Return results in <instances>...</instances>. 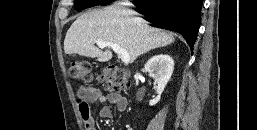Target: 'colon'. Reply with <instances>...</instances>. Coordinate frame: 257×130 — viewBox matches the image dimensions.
Returning <instances> with one entry per match:
<instances>
[{
	"instance_id": "obj_1",
	"label": "colon",
	"mask_w": 257,
	"mask_h": 130,
	"mask_svg": "<svg viewBox=\"0 0 257 130\" xmlns=\"http://www.w3.org/2000/svg\"><path fill=\"white\" fill-rule=\"evenodd\" d=\"M72 78L81 82H89L92 79L91 67L86 62L72 63L69 69ZM105 88L111 92H123L129 84V74L126 70L109 66L102 73Z\"/></svg>"
}]
</instances>
